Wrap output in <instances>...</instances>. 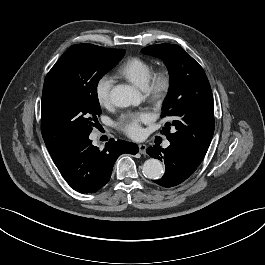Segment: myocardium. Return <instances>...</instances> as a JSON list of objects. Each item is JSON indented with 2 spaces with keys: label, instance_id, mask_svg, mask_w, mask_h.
Wrapping results in <instances>:
<instances>
[{
  "label": "myocardium",
  "instance_id": "f54148a6",
  "mask_svg": "<svg viewBox=\"0 0 265 265\" xmlns=\"http://www.w3.org/2000/svg\"><path fill=\"white\" fill-rule=\"evenodd\" d=\"M173 86L172 73L167 68L152 73L144 89L145 98L154 105H161L169 97Z\"/></svg>",
  "mask_w": 265,
  "mask_h": 265
}]
</instances>
